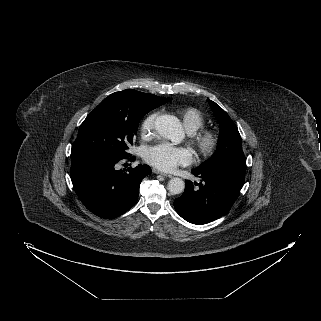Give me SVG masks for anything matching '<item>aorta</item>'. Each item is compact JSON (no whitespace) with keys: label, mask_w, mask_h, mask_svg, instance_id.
Instances as JSON below:
<instances>
[{"label":"aorta","mask_w":321,"mask_h":321,"mask_svg":"<svg viewBox=\"0 0 321 321\" xmlns=\"http://www.w3.org/2000/svg\"><path fill=\"white\" fill-rule=\"evenodd\" d=\"M155 130L160 136L172 142H179L183 137L182 125L173 116H158L155 120ZM184 188L185 183L181 178L174 177L168 182V190L172 194H180L184 191Z\"/></svg>","instance_id":"1"}]
</instances>
